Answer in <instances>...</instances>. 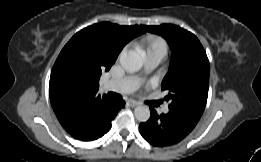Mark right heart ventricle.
Segmentation results:
<instances>
[{
	"label": "right heart ventricle",
	"instance_id": "1",
	"mask_svg": "<svg viewBox=\"0 0 261 162\" xmlns=\"http://www.w3.org/2000/svg\"><path fill=\"white\" fill-rule=\"evenodd\" d=\"M142 43L146 48V54L161 53L164 56L167 54L168 45L166 41L159 36L147 35L142 39Z\"/></svg>",
	"mask_w": 261,
	"mask_h": 162
}]
</instances>
